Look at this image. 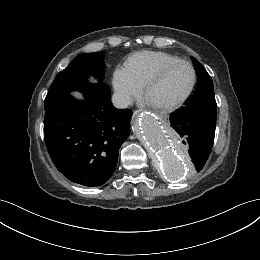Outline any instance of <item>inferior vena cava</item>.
I'll return each instance as SVG.
<instances>
[{
  "label": "inferior vena cava",
  "mask_w": 260,
  "mask_h": 260,
  "mask_svg": "<svg viewBox=\"0 0 260 260\" xmlns=\"http://www.w3.org/2000/svg\"><path fill=\"white\" fill-rule=\"evenodd\" d=\"M112 103L116 108L123 109L132 105V98L124 92H115L112 96Z\"/></svg>",
  "instance_id": "602c4592"
}]
</instances>
